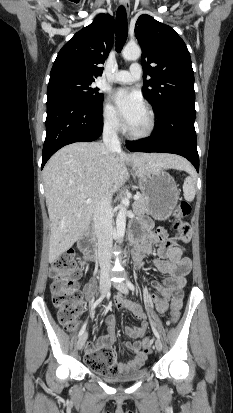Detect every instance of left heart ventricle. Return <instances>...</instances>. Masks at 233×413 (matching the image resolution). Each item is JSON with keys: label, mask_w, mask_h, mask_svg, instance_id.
I'll return each instance as SVG.
<instances>
[{"label": "left heart ventricle", "mask_w": 233, "mask_h": 413, "mask_svg": "<svg viewBox=\"0 0 233 413\" xmlns=\"http://www.w3.org/2000/svg\"><path fill=\"white\" fill-rule=\"evenodd\" d=\"M147 123L146 113L144 112L129 126L131 130L141 131L145 128Z\"/></svg>", "instance_id": "1"}]
</instances>
